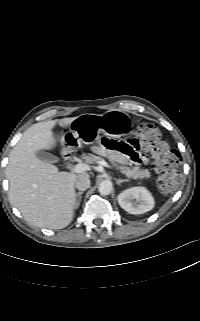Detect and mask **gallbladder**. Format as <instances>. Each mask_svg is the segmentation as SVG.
Masks as SVG:
<instances>
[{
    "label": "gallbladder",
    "instance_id": "obj_1",
    "mask_svg": "<svg viewBox=\"0 0 200 321\" xmlns=\"http://www.w3.org/2000/svg\"><path fill=\"white\" fill-rule=\"evenodd\" d=\"M36 156L44 161V162H48V163H56L59 161V158L46 152V151H43V150H40L36 153Z\"/></svg>",
    "mask_w": 200,
    "mask_h": 321
}]
</instances>
